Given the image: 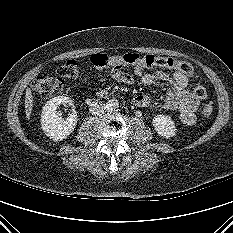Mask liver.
Listing matches in <instances>:
<instances>
[{"mask_svg":"<svg viewBox=\"0 0 233 233\" xmlns=\"http://www.w3.org/2000/svg\"><path fill=\"white\" fill-rule=\"evenodd\" d=\"M32 109H33V96L31 90L27 88L25 95V112H26V118L28 120L30 119Z\"/></svg>","mask_w":233,"mask_h":233,"instance_id":"obj_1","label":"liver"}]
</instances>
